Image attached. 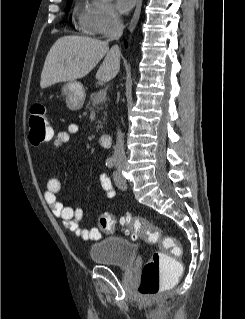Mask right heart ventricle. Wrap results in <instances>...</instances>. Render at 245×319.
Instances as JSON below:
<instances>
[{
    "label": "right heart ventricle",
    "instance_id": "1",
    "mask_svg": "<svg viewBox=\"0 0 245 319\" xmlns=\"http://www.w3.org/2000/svg\"><path fill=\"white\" fill-rule=\"evenodd\" d=\"M80 22L86 19L87 17V12L86 11H81L78 15Z\"/></svg>",
    "mask_w": 245,
    "mask_h": 319
}]
</instances>
